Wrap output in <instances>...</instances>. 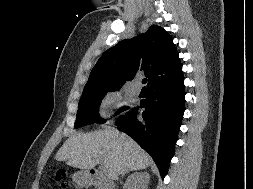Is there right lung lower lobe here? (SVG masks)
Segmentation results:
<instances>
[{"instance_id": "right-lung-lower-lobe-1", "label": "right lung lower lobe", "mask_w": 253, "mask_h": 189, "mask_svg": "<svg viewBox=\"0 0 253 189\" xmlns=\"http://www.w3.org/2000/svg\"><path fill=\"white\" fill-rule=\"evenodd\" d=\"M147 91L148 97L140 105L145 108L143 119H137L139 107H136L120 117L117 126L149 153L164 179L185 110L183 74L154 83Z\"/></svg>"}]
</instances>
